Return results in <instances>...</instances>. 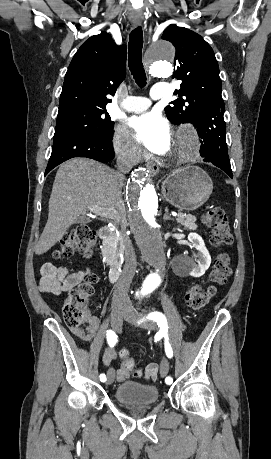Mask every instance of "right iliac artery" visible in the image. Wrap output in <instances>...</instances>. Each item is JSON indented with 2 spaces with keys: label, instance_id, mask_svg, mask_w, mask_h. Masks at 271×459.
Returning <instances> with one entry per match:
<instances>
[{
  "label": "right iliac artery",
  "instance_id": "1",
  "mask_svg": "<svg viewBox=\"0 0 271 459\" xmlns=\"http://www.w3.org/2000/svg\"><path fill=\"white\" fill-rule=\"evenodd\" d=\"M107 341L110 347H114L115 344L117 343V335L115 334L114 331L108 330L107 331ZM100 381L105 382L106 381V375L105 374H100Z\"/></svg>",
  "mask_w": 271,
  "mask_h": 459
}]
</instances>
